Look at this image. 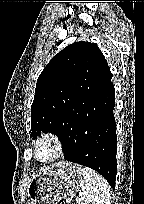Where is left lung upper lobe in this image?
Segmentation results:
<instances>
[{"instance_id":"left-lung-upper-lobe-1","label":"left lung upper lobe","mask_w":144,"mask_h":204,"mask_svg":"<svg viewBox=\"0 0 144 204\" xmlns=\"http://www.w3.org/2000/svg\"><path fill=\"white\" fill-rule=\"evenodd\" d=\"M107 66L95 43H73L55 55L37 80L30 136L52 132L63 143L86 103L94 73Z\"/></svg>"}]
</instances>
